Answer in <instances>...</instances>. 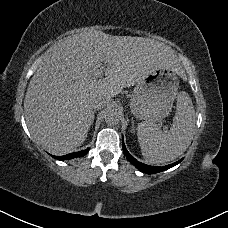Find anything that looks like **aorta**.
Here are the masks:
<instances>
[{
	"instance_id": "762f6f07",
	"label": "aorta",
	"mask_w": 228,
	"mask_h": 228,
	"mask_svg": "<svg viewBox=\"0 0 228 228\" xmlns=\"http://www.w3.org/2000/svg\"><path fill=\"white\" fill-rule=\"evenodd\" d=\"M105 121L108 125H117L120 121L119 113L114 109H110L105 116Z\"/></svg>"
}]
</instances>
